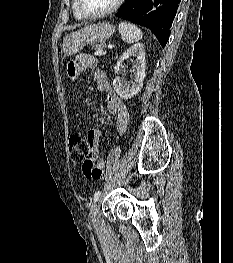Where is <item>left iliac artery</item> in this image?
Masks as SVG:
<instances>
[{
  "label": "left iliac artery",
  "instance_id": "obj_1",
  "mask_svg": "<svg viewBox=\"0 0 233 263\" xmlns=\"http://www.w3.org/2000/svg\"><path fill=\"white\" fill-rule=\"evenodd\" d=\"M100 195H101V191H97V192L94 194L93 201L96 202V201L99 199Z\"/></svg>",
  "mask_w": 233,
  "mask_h": 263
}]
</instances>
